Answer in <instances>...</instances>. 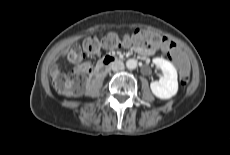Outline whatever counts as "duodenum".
Returning a JSON list of instances; mask_svg holds the SVG:
<instances>
[{
    "mask_svg": "<svg viewBox=\"0 0 230 155\" xmlns=\"http://www.w3.org/2000/svg\"><path fill=\"white\" fill-rule=\"evenodd\" d=\"M119 58L110 54L103 56L99 62L96 64L93 71V78L99 76L106 68L114 63H117Z\"/></svg>",
    "mask_w": 230,
    "mask_h": 155,
    "instance_id": "410a0bca",
    "label": "duodenum"
}]
</instances>
